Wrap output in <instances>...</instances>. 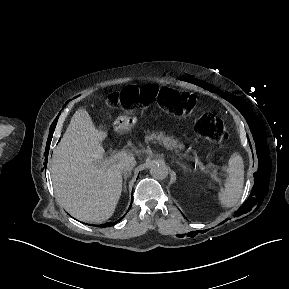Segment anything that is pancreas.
<instances>
[{"instance_id": "pancreas-1", "label": "pancreas", "mask_w": 289, "mask_h": 289, "mask_svg": "<svg viewBox=\"0 0 289 289\" xmlns=\"http://www.w3.org/2000/svg\"><path fill=\"white\" fill-rule=\"evenodd\" d=\"M147 142H158L161 145H164L166 148L170 150H181L184 149V145L179 143L176 139L166 136L163 132H152L146 136ZM213 177L216 178L217 172L216 170H212Z\"/></svg>"}]
</instances>
